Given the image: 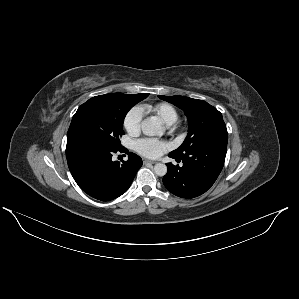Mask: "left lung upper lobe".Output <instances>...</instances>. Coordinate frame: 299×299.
Instances as JSON below:
<instances>
[{
	"mask_svg": "<svg viewBox=\"0 0 299 299\" xmlns=\"http://www.w3.org/2000/svg\"><path fill=\"white\" fill-rule=\"evenodd\" d=\"M160 99L182 109L188 117L189 130L183 144L171 154L183 156L200 146L227 142L228 133L222 114L213 106L203 100L184 96H159Z\"/></svg>",
	"mask_w": 299,
	"mask_h": 299,
	"instance_id": "5c2ea615",
	"label": "left lung upper lobe"
}]
</instances>
